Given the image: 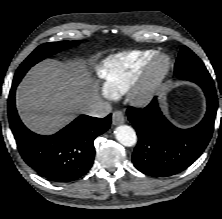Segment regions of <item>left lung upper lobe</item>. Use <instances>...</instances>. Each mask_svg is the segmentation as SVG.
<instances>
[{"mask_svg":"<svg viewBox=\"0 0 222 219\" xmlns=\"http://www.w3.org/2000/svg\"><path fill=\"white\" fill-rule=\"evenodd\" d=\"M174 70V74L179 79L207 85L213 84V80L203 62L186 46L181 48Z\"/></svg>","mask_w":222,"mask_h":219,"instance_id":"obj_1","label":"left lung upper lobe"}]
</instances>
